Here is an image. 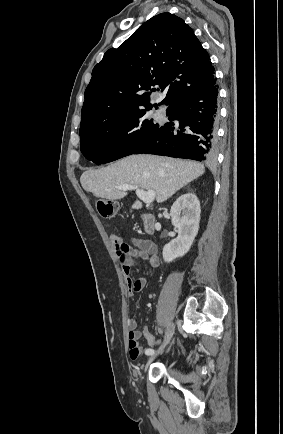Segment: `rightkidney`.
I'll use <instances>...</instances> for the list:
<instances>
[{
  "instance_id": "ca27d5eb",
  "label": "right kidney",
  "mask_w": 283,
  "mask_h": 434,
  "mask_svg": "<svg viewBox=\"0 0 283 434\" xmlns=\"http://www.w3.org/2000/svg\"><path fill=\"white\" fill-rule=\"evenodd\" d=\"M200 213V202L193 193L184 194L174 202L170 215L178 236L164 246L163 259L165 262H172L190 250L198 233Z\"/></svg>"
}]
</instances>
